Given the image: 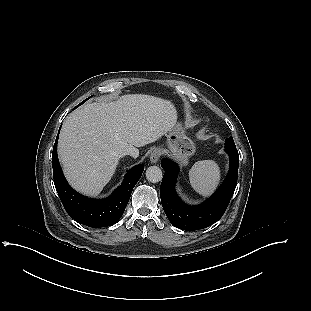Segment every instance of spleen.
<instances>
[{
	"instance_id": "1",
	"label": "spleen",
	"mask_w": 311,
	"mask_h": 311,
	"mask_svg": "<svg viewBox=\"0 0 311 311\" xmlns=\"http://www.w3.org/2000/svg\"><path fill=\"white\" fill-rule=\"evenodd\" d=\"M192 188L203 196L210 195L220 181V169L213 160L196 162L189 171Z\"/></svg>"
}]
</instances>
